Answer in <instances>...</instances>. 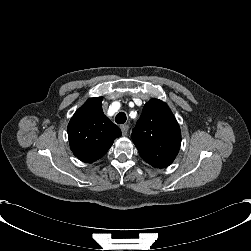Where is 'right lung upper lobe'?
Instances as JSON below:
<instances>
[{
    "instance_id": "1",
    "label": "right lung upper lobe",
    "mask_w": 251,
    "mask_h": 251,
    "mask_svg": "<svg viewBox=\"0 0 251 251\" xmlns=\"http://www.w3.org/2000/svg\"><path fill=\"white\" fill-rule=\"evenodd\" d=\"M121 130L103 113L102 97L90 98L71 118L68 137L71 150L81 161L92 163L106 154Z\"/></svg>"
}]
</instances>
